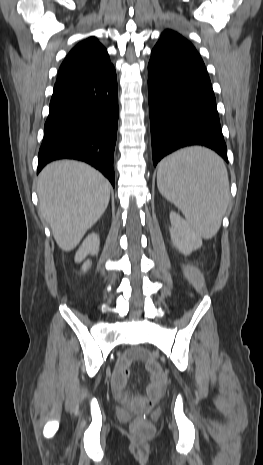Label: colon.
<instances>
[{
    "label": "colon",
    "mask_w": 263,
    "mask_h": 465,
    "mask_svg": "<svg viewBox=\"0 0 263 465\" xmlns=\"http://www.w3.org/2000/svg\"><path fill=\"white\" fill-rule=\"evenodd\" d=\"M162 388L159 386L148 387V397H138L132 401L133 409L142 413L149 411L153 407L154 400L161 394ZM135 432L141 435L149 434L152 431V425L142 416L139 415L132 423Z\"/></svg>",
    "instance_id": "colon-1"
}]
</instances>
